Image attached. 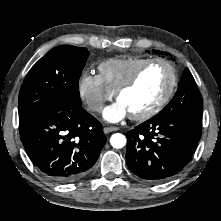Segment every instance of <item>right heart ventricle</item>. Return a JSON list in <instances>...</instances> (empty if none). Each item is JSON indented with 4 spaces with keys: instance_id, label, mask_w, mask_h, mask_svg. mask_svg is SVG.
Here are the masks:
<instances>
[{
    "instance_id": "right-heart-ventricle-1",
    "label": "right heart ventricle",
    "mask_w": 221,
    "mask_h": 221,
    "mask_svg": "<svg viewBox=\"0 0 221 221\" xmlns=\"http://www.w3.org/2000/svg\"><path fill=\"white\" fill-rule=\"evenodd\" d=\"M146 60L147 58L141 57L111 58L105 60L98 66L99 76L104 84L114 93Z\"/></svg>"
}]
</instances>
